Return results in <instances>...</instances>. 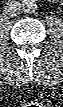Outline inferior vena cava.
<instances>
[{"instance_id":"inferior-vena-cava-1","label":"inferior vena cava","mask_w":63,"mask_h":107,"mask_svg":"<svg viewBox=\"0 0 63 107\" xmlns=\"http://www.w3.org/2000/svg\"><path fill=\"white\" fill-rule=\"evenodd\" d=\"M21 10H22L21 3L15 0L7 2V4L4 7L5 13L12 17L19 15Z\"/></svg>"}]
</instances>
